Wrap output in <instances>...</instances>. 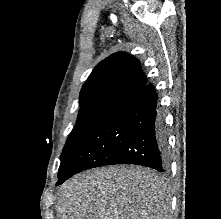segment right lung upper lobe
Masks as SVG:
<instances>
[{"label": "right lung upper lobe", "instance_id": "obj_1", "mask_svg": "<svg viewBox=\"0 0 221 219\" xmlns=\"http://www.w3.org/2000/svg\"><path fill=\"white\" fill-rule=\"evenodd\" d=\"M146 84L140 62L130 54L118 52L94 68L81 89L79 104L99 100L122 101Z\"/></svg>", "mask_w": 221, "mask_h": 219}]
</instances>
